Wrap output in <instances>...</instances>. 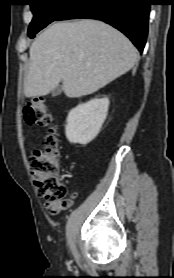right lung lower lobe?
<instances>
[{
  "label": "right lung lower lobe",
  "mask_w": 174,
  "mask_h": 278,
  "mask_svg": "<svg viewBox=\"0 0 174 278\" xmlns=\"http://www.w3.org/2000/svg\"><path fill=\"white\" fill-rule=\"evenodd\" d=\"M149 0H76L56 20H102L124 33L140 52L148 31Z\"/></svg>",
  "instance_id": "1"
}]
</instances>
